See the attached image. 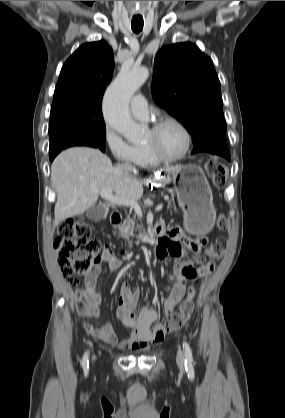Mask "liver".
Instances as JSON below:
<instances>
[{
	"mask_svg": "<svg viewBox=\"0 0 285 418\" xmlns=\"http://www.w3.org/2000/svg\"><path fill=\"white\" fill-rule=\"evenodd\" d=\"M179 166L167 167L165 172ZM51 180L57 191L55 225L83 214L96 204L99 193L94 190H111L116 196L139 200L143 195V181L125 165L114 167L108 156L88 147H73L61 152L53 161ZM151 178L146 180L150 182ZM163 184L170 177H161Z\"/></svg>",
	"mask_w": 285,
	"mask_h": 418,
	"instance_id": "6515ba94",
	"label": "liver"
}]
</instances>
